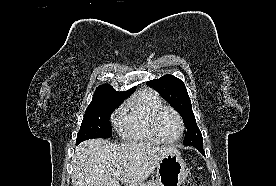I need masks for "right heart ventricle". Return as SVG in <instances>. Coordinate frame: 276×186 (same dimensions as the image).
I'll return each instance as SVG.
<instances>
[{"instance_id": "obj_1", "label": "right heart ventricle", "mask_w": 276, "mask_h": 186, "mask_svg": "<svg viewBox=\"0 0 276 186\" xmlns=\"http://www.w3.org/2000/svg\"><path fill=\"white\" fill-rule=\"evenodd\" d=\"M161 98L152 90H144L131 99L118 117L120 134L127 140L158 145L162 142L153 134L151 118L163 106Z\"/></svg>"}]
</instances>
